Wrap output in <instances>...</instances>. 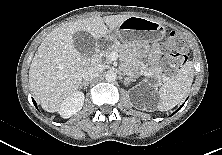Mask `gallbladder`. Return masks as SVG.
<instances>
[{
  "label": "gallbladder",
  "instance_id": "1",
  "mask_svg": "<svg viewBox=\"0 0 222 155\" xmlns=\"http://www.w3.org/2000/svg\"><path fill=\"white\" fill-rule=\"evenodd\" d=\"M73 43L76 50L86 58L93 56L95 52V39L87 32L78 31L73 35Z\"/></svg>",
  "mask_w": 222,
  "mask_h": 155
}]
</instances>
